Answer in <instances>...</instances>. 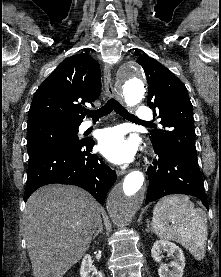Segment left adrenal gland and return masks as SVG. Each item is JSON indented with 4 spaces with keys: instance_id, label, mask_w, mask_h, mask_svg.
<instances>
[{
    "instance_id": "left-adrenal-gland-1",
    "label": "left adrenal gland",
    "mask_w": 221,
    "mask_h": 277,
    "mask_svg": "<svg viewBox=\"0 0 221 277\" xmlns=\"http://www.w3.org/2000/svg\"><path fill=\"white\" fill-rule=\"evenodd\" d=\"M147 228H146V232H150L152 231V228H150V220H147Z\"/></svg>"
}]
</instances>
